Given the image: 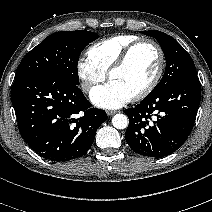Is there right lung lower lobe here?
Segmentation results:
<instances>
[{"instance_id": "98d812e1", "label": "right lung lower lobe", "mask_w": 212, "mask_h": 212, "mask_svg": "<svg viewBox=\"0 0 212 212\" xmlns=\"http://www.w3.org/2000/svg\"><path fill=\"white\" fill-rule=\"evenodd\" d=\"M12 96L22 138L37 154L55 162L83 156L107 119L104 110L91 108L77 85L56 75L15 79Z\"/></svg>"}]
</instances>
